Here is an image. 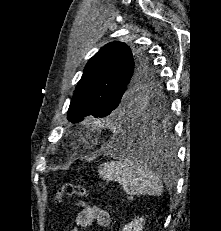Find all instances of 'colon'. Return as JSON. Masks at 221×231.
I'll list each match as a JSON object with an SVG mask.
<instances>
[{"label": "colon", "instance_id": "obj_1", "mask_svg": "<svg viewBox=\"0 0 221 231\" xmlns=\"http://www.w3.org/2000/svg\"><path fill=\"white\" fill-rule=\"evenodd\" d=\"M73 195L86 197L88 193L87 190L81 185L72 182H66L63 183L57 190L55 195V202L57 204H60L62 203L64 197Z\"/></svg>", "mask_w": 221, "mask_h": 231}]
</instances>
